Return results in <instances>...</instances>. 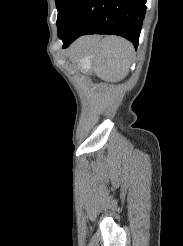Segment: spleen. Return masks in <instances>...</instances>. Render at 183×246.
<instances>
[{
  "instance_id": "3e777b00",
  "label": "spleen",
  "mask_w": 183,
  "mask_h": 246,
  "mask_svg": "<svg viewBox=\"0 0 183 246\" xmlns=\"http://www.w3.org/2000/svg\"><path fill=\"white\" fill-rule=\"evenodd\" d=\"M101 55L96 73L106 81L117 82L124 79L130 70L134 55L133 45L121 37L109 36L100 43ZM91 64L84 65L89 70Z\"/></svg>"
}]
</instances>
